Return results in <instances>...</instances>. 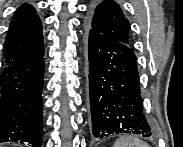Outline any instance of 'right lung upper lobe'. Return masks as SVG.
I'll return each instance as SVG.
<instances>
[{
	"label": "right lung upper lobe",
	"mask_w": 183,
	"mask_h": 147,
	"mask_svg": "<svg viewBox=\"0 0 183 147\" xmlns=\"http://www.w3.org/2000/svg\"><path fill=\"white\" fill-rule=\"evenodd\" d=\"M44 50L42 24L29 4L19 7L10 22L4 48V66L24 62Z\"/></svg>",
	"instance_id": "cb5924a9"
}]
</instances>
